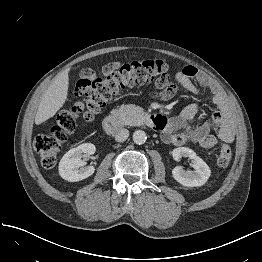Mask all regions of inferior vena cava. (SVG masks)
<instances>
[{"mask_svg":"<svg viewBox=\"0 0 262 262\" xmlns=\"http://www.w3.org/2000/svg\"><path fill=\"white\" fill-rule=\"evenodd\" d=\"M129 136V131L125 128L120 129L116 134H115V140L117 142H124Z\"/></svg>","mask_w":262,"mask_h":262,"instance_id":"602c4592","label":"inferior vena cava"}]
</instances>
